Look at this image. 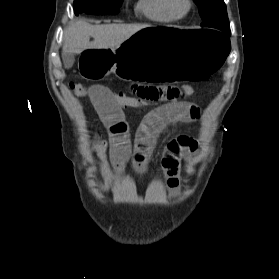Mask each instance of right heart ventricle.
<instances>
[{"label": "right heart ventricle", "mask_w": 279, "mask_h": 279, "mask_svg": "<svg viewBox=\"0 0 279 279\" xmlns=\"http://www.w3.org/2000/svg\"><path fill=\"white\" fill-rule=\"evenodd\" d=\"M136 9L155 22L170 23L177 19L168 9V0H138Z\"/></svg>", "instance_id": "e07e8e85"}]
</instances>
